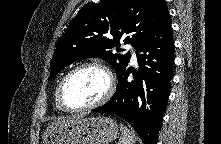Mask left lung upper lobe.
I'll return each instance as SVG.
<instances>
[{"instance_id": "obj_1", "label": "left lung upper lobe", "mask_w": 221, "mask_h": 144, "mask_svg": "<svg viewBox=\"0 0 221 144\" xmlns=\"http://www.w3.org/2000/svg\"><path fill=\"white\" fill-rule=\"evenodd\" d=\"M167 13L164 0H101L87 3L60 37L51 61L49 80L65 66L83 58L99 57L117 75L130 55L118 54L121 39L137 48L151 36Z\"/></svg>"}]
</instances>
